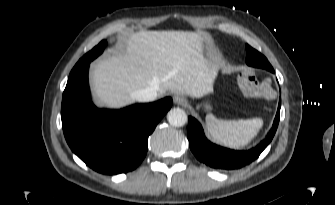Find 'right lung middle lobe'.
<instances>
[{"instance_id": "dd1d6c3e", "label": "right lung middle lobe", "mask_w": 335, "mask_h": 205, "mask_svg": "<svg viewBox=\"0 0 335 205\" xmlns=\"http://www.w3.org/2000/svg\"><path fill=\"white\" fill-rule=\"evenodd\" d=\"M107 42L106 40H102L97 46H95L91 51L86 53L74 66L71 72L76 71L79 69L82 65L86 63H90L92 60H94L96 57H98L106 47Z\"/></svg>"}]
</instances>
